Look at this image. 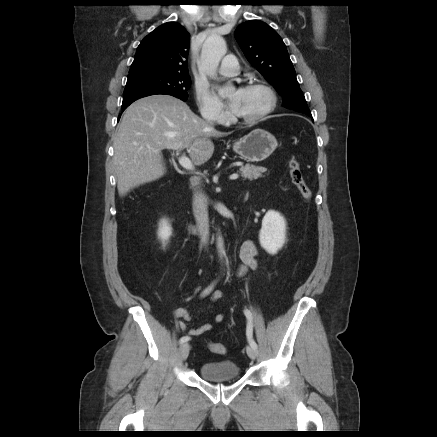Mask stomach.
Wrapping results in <instances>:
<instances>
[{
    "label": "stomach",
    "instance_id": "0dacf381",
    "mask_svg": "<svg viewBox=\"0 0 437 437\" xmlns=\"http://www.w3.org/2000/svg\"><path fill=\"white\" fill-rule=\"evenodd\" d=\"M276 147V138L263 129H255L233 144V150L248 162L265 160Z\"/></svg>",
    "mask_w": 437,
    "mask_h": 437
}]
</instances>
